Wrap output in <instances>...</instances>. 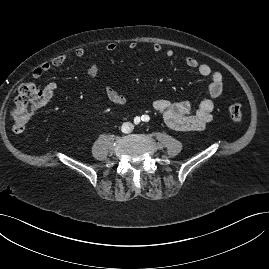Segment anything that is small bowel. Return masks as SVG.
I'll list each match as a JSON object with an SVG mask.
<instances>
[{
	"instance_id": "c3829d8e",
	"label": "small bowel",
	"mask_w": 269,
	"mask_h": 269,
	"mask_svg": "<svg viewBox=\"0 0 269 269\" xmlns=\"http://www.w3.org/2000/svg\"><path fill=\"white\" fill-rule=\"evenodd\" d=\"M130 50H135L137 44L131 42L128 45ZM106 51L112 53L116 51L117 44L110 42L105 47ZM152 50L156 53L164 51L166 57L171 58L174 55V50L167 48L163 50V46L160 43H154L152 45ZM87 53L83 48H78L75 50V56L80 59H85ZM68 60L66 55H60L54 57L49 62H44L32 73V78L34 80H39L46 72H48L53 67H60L64 65ZM83 64L87 73L90 76H96L99 72V66L96 62L90 60H84ZM185 64L190 69H195L198 74L204 78L209 79L207 85V91L210 98L204 99L200 102L196 111L192 110V104L189 101H180L176 103H171L164 99H158L154 102L153 107L163 118L164 122L168 127L173 130L185 132V131H200L203 130L212 120L213 111L215 108L214 98L220 97L224 92V78L220 72L213 71L211 67L207 64H201L196 58L188 56L185 59ZM57 85L55 82L47 83L43 90V105L51 101ZM104 92L106 97L112 103L123 106L126 104V97L112 88L106 85L104 87Z\"/></svg>"
}]
</instances>
